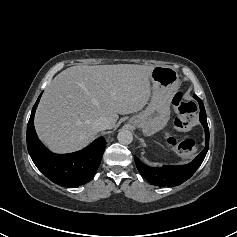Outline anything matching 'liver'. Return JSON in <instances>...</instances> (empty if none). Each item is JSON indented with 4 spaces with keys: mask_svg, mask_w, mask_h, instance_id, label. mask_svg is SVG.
Segmentation results:
<instances>
[{
    "mask_svg": "<svg viewBox=\"0 0 237 237\" xmlns=\"http://www.w3.org/2000/svg\"><path fill=\"white\" fill-rule=\"evenodd\" d=\"M153 66L118 64L73 66L59 73L44 92L35 114V129L56 153L87 145L98 131L99 117L115 126L118 114L140 111L150 97Z\"/></svg>",
    "mask_w": 237,
    "mask_h": 237,
    "instance_id": "liver-1",
    "label": "liver"
}]
</instances>
